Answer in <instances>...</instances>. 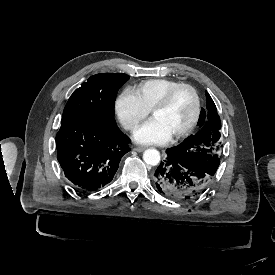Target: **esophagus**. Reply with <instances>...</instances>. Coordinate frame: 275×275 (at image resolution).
I'll return each instance as SVG.
<instances>
[{"mask_svg":"<svg viewBox=\"0 0 275 275\" xmlns=\"http://www.w3.org/2000/svg\"><path fill=\"white\" fill-rule=\"evenodd\" d=\"M146 149V147L140 146V147H135L134 150L137 152H142Z\"/></svg>","mask_w":275,"mask_h":275,"instance_id":"obj_1","label":"esophagus"}]
</instances>
